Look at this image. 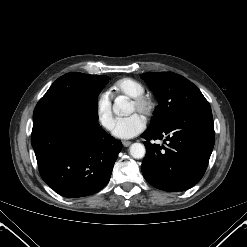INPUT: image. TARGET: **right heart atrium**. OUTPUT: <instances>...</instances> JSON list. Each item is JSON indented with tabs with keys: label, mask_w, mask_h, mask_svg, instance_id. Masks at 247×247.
Segmentation results:
<instances>
[{
	"label": "right heart atrium",
	"mask_w": 247,
	"mask_h": 247,
	"mask_svg": "<svg viewBox=\"0 0 247 247\" xmlns=\"http://www.w3.org/2000/svg\"><path fill=\"white\" fill-rule=\"evenodd\" d=\"M95 110L99 124L105 130H111L113 127L112 98L108 92L98 95Z\"/></svg>",
	"instance_id": "1"
}]
</instances>
